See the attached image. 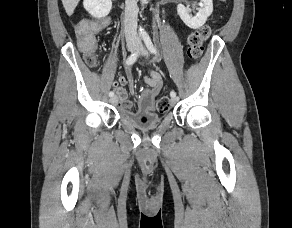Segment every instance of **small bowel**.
<instances>
[{
  "label": "small bowel",
  "instance_id": "small-bowel-1",
  "mask_svg": "<svg viewBox=\"0 0 292 228\" xmlns=\"http://www.w3.org/2000/svg\"><path fill=\"white\" fill-rule=\"evenodd\" d=\"M133 74L132 71H128V76H121L113 84L115 92L117 94L118 104L123 109L133 110L135 105L128 99V92L126 90V85L129 84V89L131 93H135V86L132 83ZM144 81L147 88L142 89L141 93L137 99L138 110H143L146 112H152L154 110V100L162 89V78L161 75L155 71L150 70L144 76Z\"/></svg>",
  "mask_w": 292,
  "mask_h": 228
}]
</instances>
